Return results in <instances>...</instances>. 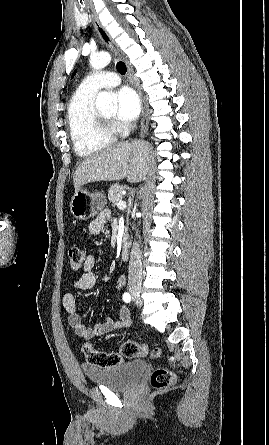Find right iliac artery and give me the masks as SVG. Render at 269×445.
Wrapping results in <instances>:
<instances>
[{
  "label": "right iliac artery",
  "instance_id": "1",
  "mask_svg": "<svg viewBox=\"0 0 269 445\" xmlns=\"http://www.w3.org/2000/svg\"><path fill=\"white\" fill-rule=\"evenodd\" d=\"M123 300H124L126 303H130V301H131V296H130V294L127 293V292H125V293L123 294Z\"/></svg>",
  "mask_w": 269,
  "mask_h": 445
}]
</instances>
